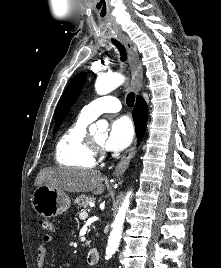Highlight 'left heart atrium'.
Segmentation results:
<instances>
[{"label": "left heart atrium", "mask_w": 221, "mask_h": 268, "mask_svg": "<svg viewBox=\"0 0 221 268\" xmlns=\"http://www.w3.org/2000/svg\"><path fill=\"white\" fill-rule=\"evenodd\" d=\"M134 130L130 119L126 116L114 119L110 124L105 147L110 151H121L131 143Z\"/></svg>", "instance_id": "1"}]
</instances>
